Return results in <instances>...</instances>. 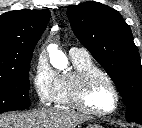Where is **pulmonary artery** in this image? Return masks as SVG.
Returning a JSON list of instances; mask_svg holds the SVG:
<instances>
[{"mask_svg":"<svg viewBox=\"0 0 142 128\" xmlns=\"http://www.w3.org/2000/svg\"><path fill=\"white\" fill-rule=\"evenodd\" d=\"M70 56H77V57H87L89 56V53L84 48H78V47H71L69 50Z\"/></svg>","mask_w":142,"mask_h":128,"instance_id":"e3ab8cb5","label":"pulmonary artery"}]
</instances>
